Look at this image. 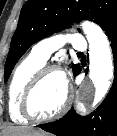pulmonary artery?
Masks as SVG:
<instances>
[{
	"mask_svg": "<svg viewBox=\"0 0 117 136\" xmlns=\"http://www.w3.org/2000/svg\"><path fill=\"white\" fill-rule=\"evenodd\" d=\"M67 43L78 51H84L87 48L84 37L72 32L69 34H55L39 41L33 46L31 54L46 63L54 51Z\"/></svg>",
	"mask_w": 117,
	"mask_h": 136,
	"instance_id": "e3ab8cb5",
	"label": "pulmonary artery"
}]
</instances>
